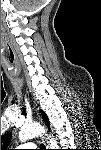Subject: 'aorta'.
Returning a JSON list of instances; mask_svg holds the SVG:
<instances>
[{
  "label": "aorta",
  "mask_w": 101,
  "mask_h": 150,
  "mask_svg": "<svg viewBox=\"0 0 101 150\" xmlns=\"http://www.w3.org/2000/svg\"><path fill=\"white\" fill-rule=\"evenodd\" d=\"M42 134H45V130L42 126H40L38 124L26 125V126L22 127L19 132V140L21 142H25L31 138H34V137L42 135ZM45 135L47 136V139L49 140V146L52 149L57 147V141L50 135L49 136L47 134H45Z\"/></svg>",
  "instance_id": "1"
}]
</instances>
